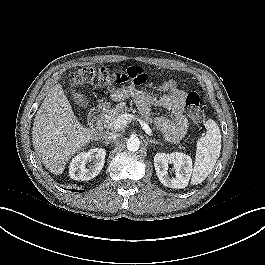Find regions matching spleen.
Masks as SVG:
<instances>
[{"mask_svg":"<svg viewBox=\"0 0 265 265\" xmlns=\"http://www.w3.org/2000/svg\"><path fill=\"white\" fill-rule=\"evenodd\" d=\"M206 134L197 141L196 159L191 183H202L211 173L221 150V133L218 125L212 119L206 121Z\"/></svg>","mask_w":265,"mask_h":265,"instance_id":"1","label":"spleen"}]
</instances>
